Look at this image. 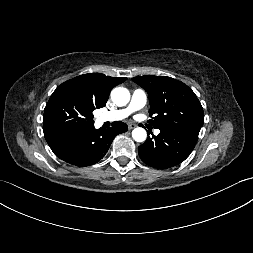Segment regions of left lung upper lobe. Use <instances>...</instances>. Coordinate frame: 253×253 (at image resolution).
<instances>
[{"instance_id": "left-lung-upper-lobe-1", "label": "left lung upper lobe", "mask_w": 253, "mask_h": 253, "mask_svg": "<svg viewBox=\"0 0 253 253\" xmlns=\"http://www.w3.org/2000/svg\"><path fill=\"white\" fill-rule=\"evenodd\" d=\"M150 101L149 123L158 129L200 131L204 112L195 93L183 82L167 76H137Z\"/></svg>"}]
</instances>
